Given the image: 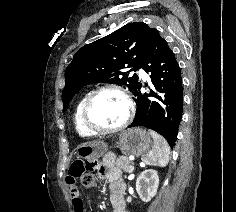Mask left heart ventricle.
Segmentation results:
<instances>
[{
	"instance_id": "b2bd125f",
	"label": "left heart ventricle",
	"mask_w": 236,
	"mask_h": 212,
	"mask_svg": "<svg viewBox=\"0 0 236 212\" xmlns=\"http://www.w3.org/2000/svg\"><path fill=\"white\" fill-rule=\"evenodd\" d=\"M127 114V105L123 97L115 91H104L98 94L90 109V120L99 128L119 126Z\"/></svg>"
}]
</instances>
